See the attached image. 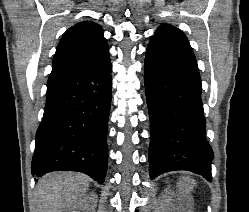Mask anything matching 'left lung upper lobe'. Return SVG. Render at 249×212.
Returning <instances> with one entry per match:
<instances>
[{"instance_id": "left-lung-upper-lobe-1", "label": "left lung upper lobe", "mask_w": 249, "mask_h": 212, "mask_svg": "<svg viewBox=\"0 0 249 212\" xmlns=\"http://www.w3.org/2000/svg\"><path fill=\"white\" fill-rule=\"evenodd\" d=\"M152 44H160L174 52L195 58L187 37L179 29L171 25L162 24L158 27L148 46Z\"/></svg>"}]
</instances>
